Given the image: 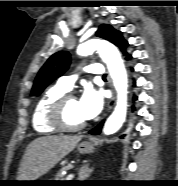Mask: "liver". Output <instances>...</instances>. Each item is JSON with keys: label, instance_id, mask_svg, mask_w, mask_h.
Instances as JSON below:
<instances>
[{"label": "liver", "instance_id": "liver-1", "mask_svg": "<svg viewBox=\"0 0 178 186\" xmlns=\"http://www.w3.org/2000/svg\"><path fill=\"white\" fill-rule=\"evenodd\" d=\"M81 135H47L34 139L26 148L18 171L19 181L36 180L68 155Z\"/></svg>", "mask_w": 178, "mask_h": 186}]
</instances>
